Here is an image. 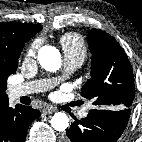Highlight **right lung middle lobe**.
Listing matches in <instances>:
<instances>
[{
    "mask_svg": "<svg viewBox=\"0 0 142 142\" xmlns=\"http://www.w3.org/2000/svg\"><path fill=\"white\" fill-rule=\"evenodd\" d=\"M19 55V53L16 55L12 63L0 61V89L3 91L7 88L6 83L8 77L17 70Z\"/></svg>",
    "mask_w": 142,
    "mask_h": 142,
    "instance_id": "obj_1",
    "label": "right lung middle lobe"
}]
</instances>
